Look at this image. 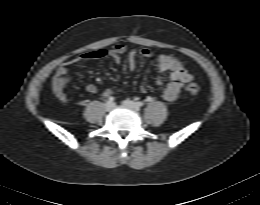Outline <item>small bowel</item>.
Returning a JSON list of instances; mask_svg holds the SVG:
<instances>
[{"mask_svg": "<svg viewBox=\"0 0 260 205\" xmlns=\"http://www.w3.org/2000/svg\"><path fill=\"white\" fill-rule=\"evenodd\" d=\"M126 51L127 48L125 45L118 44L109 52H106L104 50L92 51L83 54L82 56H80L79 59H95L109 56L113 61L119 63L122 59V55ZM139 55L154 63L157 71L160 74H169L170 81L168 83H164L163 79L161 77H158L156 79V84L163 87L162 97L164 100L168 102L174 101L178 97L183 85L191 80L190 74L184 69L179 59L175 55L164 54L155 57L153 55V52L147 48L141 50L132 49L128 52L127 55V63L129 69L133 70L136 67ZM79 59H71L62 63L52 78V92L54 96L61 102H66L68 99L65 92V86L71 78V67ZM140 89L142 92H146L145 85H141ZM86 90L89 93H96L98 91V88L95 84L90 83L86 86ZM112 93L113 91L110 88H105L102 91V94L105 97L110 96Z\"/></svg>", "mask_w": 260, "mask_h": 205, "instance_id": "1", "label": "small bowel"}]
</instances>
